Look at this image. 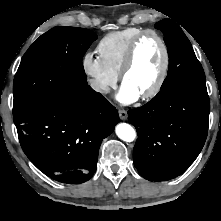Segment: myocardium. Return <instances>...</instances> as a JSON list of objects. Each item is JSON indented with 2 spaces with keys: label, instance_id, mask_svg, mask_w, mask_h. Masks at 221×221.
<instances>
[{
  "label": "myocardium",
  "instance_id": "1",
  "mask_svg": "<svg viewBox=\"0 0 221 221\" xmlns=\"http://www.w3.org/2000/svg\"><path fill=\"white\" fill-rule=\"evenodd\" d=\"M147 36H152V37L156 38L158 40V42L160 43L161 48H162V52H163V61H162V66H161L159 76H158L156 82L154 83V85L147 92L140 95L141 98L145 99V100L151 99L154 96H156L160 92V90L162 89V87L165 83V80L167 78L169 65H170V53H169L168 45H167L166 41L164 40V38L158 32H156L154 30H150V29L144 30L140 34H138L132 40V42L130 43V45L127 49L123 65H122V68L119 73L120 81L123 84L125 76L130 71V69L132 68V66L134 64L137 48H138L140 42Z\"/></svg>",
  "mask_w": 221,
  "mask_h": 221
}]
</instances>
